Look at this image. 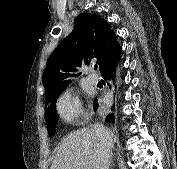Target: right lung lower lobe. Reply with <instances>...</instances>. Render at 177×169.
Instances as JSON below:
<instances>
[{"label":"right lung lower lobe","mask_w":177,"mask_h":169,"mask_svg":"<svg viewBox=\"0 0 177 169\" xmlns=\"http://www.w3.org/2000/svg\"><path fill=\"white\" fill-rule=\"evenodd\" d=\"M102 77L107 81V85L109 88L116 89L119 84V66L117 62L107 68H105L102 72ZM94 111L99 107L97 99L94 100ZM111 111H115V106L113 105ZM106 121L114 123L115 122V114L109 113L106 116Z\"/></svg>","instance_id":"1"}]
</instances>
